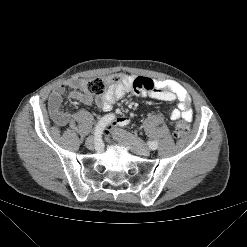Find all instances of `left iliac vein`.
<instances>
[{"label": "left iliac vein", "mask_w": 247, "mask_h": 247, "mask_svg": "<svg viewBox=\"0 0 247 247\" xmlns=\"http://www.w3.org/2000/svg\"><path fill=\"white\" fill-rule=\"evenodd\" d=\"M113 136L124 145L130 146L138 155L147 156L150 154L151 150L139 138H135L121 129H113Z\"/></svg>", "instance_id": "obj_1"}]
</instances>
